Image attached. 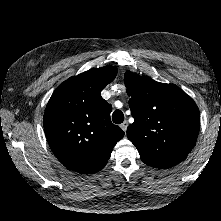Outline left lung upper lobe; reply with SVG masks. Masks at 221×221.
Returning <instances> with one entry per match:
<instances>
[{"mask_svg":"<svg viewBox=\"0 0 221 221\" xmlns=\"http://www.w3.org/2000/svg\"><path fill=\"white\" fill-rule=\"evenodd\" d=\"M134 123L128 139L137 147L141 160L156 168L182 162L195 145L199 110L193 99L173 84L159 83L127 71L124 76Z\"/></svg>","mask_w":221,"mask_h":221,"instance_id":"1","label":"left lung upper lobe"}]
</instances>
